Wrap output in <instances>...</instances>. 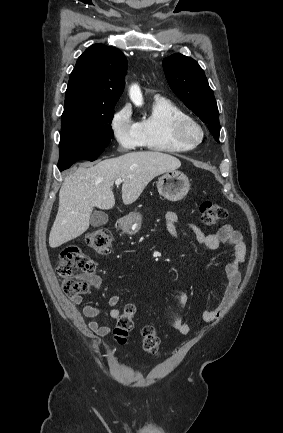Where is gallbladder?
<instances>
[{"mask_svg":"<svg viewBox=\"0 0 283 433\" xmlns=\"http://www.w3.org/2000/svg\"><path fill=\"white\" fill-rule=\"evenodd\" d=\"M108 223V214L106 212H101V210H95L91 214L90 225L92 227H101V225H106Z\"/></svg>","mask_w":283,"mask_h":433,"instance_id":"obj_1","label":"gallbladder"}]
</instances>
